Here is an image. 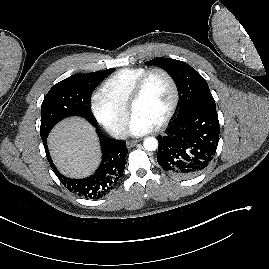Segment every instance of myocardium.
<instances>
[{
  "label": "myocardium",
  "instance_id": "1",
  "mask_svg": "<svg viewBox=\"0 0 269 269\" xmlns=\"http://www.w3.org/2000/svg\"><path fill=\"white\" fill-rule=\"evenodd\" d=\"M156 73H160L163 76H165L168 79V81L171 85V88H172V101H171V104L169 106V109H168L167 113L165 114V116L162 118V120L154 126L155 129H160V128L164 127L165 125H167L168 122L173 117V115L177 109V106L179 103V98H180L178 83H177L175 77L166 69L161 68V67H155V68L148 69L138 79V81L136 82V84L132 90L131 96L128 100L127 109L130 113H132L133 107L139 101V99L142 97L150 77Z\"/></svg>",
  "mask_w": 269,
  "mask_h": 269
}]
</instances>
